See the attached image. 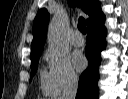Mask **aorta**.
<instances>
[{
	"label": "aorta",
	"mask_w": 128,
	"mask_h": 99,
	"mask_svg": "<svg viewBox=\"0 0 128 99\" xmlns=\"http://www.w3.org/2000/svg\"><path fill=\"white\" fill-rule=\"evenodd\" d=\"M48 43L58 54H65L68 51V42L65 33V21L61 14L55 15L49 25Z\"/></svg>",
	"instance_id": "obj_1"
}]
</instances>
